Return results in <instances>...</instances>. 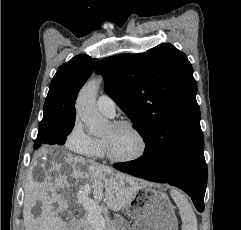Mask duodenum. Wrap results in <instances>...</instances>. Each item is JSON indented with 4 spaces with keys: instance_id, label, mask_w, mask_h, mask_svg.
<instances>
[{
    "instance_id": "obj_1",
    "label": "duodenum",
    "mask_w": 241,
    "mask_h": 230,
    "mask_svg": "<svg viewBox=\"0 0 241 230\" xmlns=\"http://www.w3.org/2000/svg\"><path fill=\"white\" fill-rule=\"evenodd\" d=\"M77 218H75V219H73L72 221H71V223H70V228L71 229H73V228H75V226H76V224H77Z\"/></svg>"
}]
</instances>
